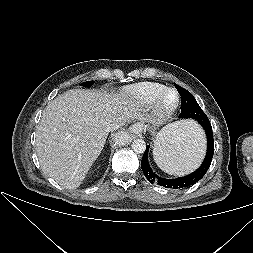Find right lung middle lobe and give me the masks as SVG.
<instances>
[{"instance_id": "right-lung-middle-lobe-1", "label": "right lung middle lobe", "mask_w": 253, "mask_h": 253, "mask_svg": "<svg viewBox=\"0 0 253 253\" xmlns=\"http://www.w3.org/2000/svg\"><path fill=\"white\" fill-rule=\"evenodd\" d=\"M94 84V81H87L81 84V86L90 87Z\"/></svg>"}]
</instances>
